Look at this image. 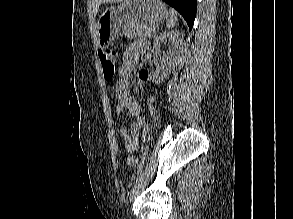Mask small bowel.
I'll list each match as a JSON object with an SVG mask.
<instances>
[{"mask_svg":"<svg viewBox=\"0 0 293 219\" xmlns=\"http://www.w3.org/2000/svg\"><path fill=\"white\" fill-rule=\"evenodd\" d=\"M146 49L147 44L144 41H136L126 49L119 68L120 79L117 81L115 87L117 112L119 114L127 112L129 115L136 117L129 130L126 127H123L120 130V136L129 152H134L138 148L139 137L145 123V118L141 115V107L139 103L131 95L128 80L133 72L136 62ZM148 77V71L140 70L136 85L143 86L148 80ZM153 101L154 97L150 96L149 102L152 103Z\"/></svg>","mask_w":293,"mask_h":219,"instance_id":"obj_1","label":"small bowel"}]
</instances>
